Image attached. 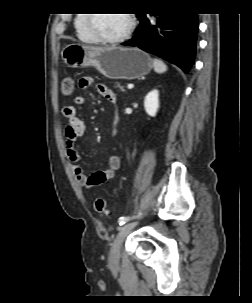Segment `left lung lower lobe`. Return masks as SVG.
Instances as JSON below:
<instances>
[{
  "mask_svg": "<svg viewBox=\"0 0 252 303\" xmlns=\"http://www.w3.org/2000/svg\"><path fill=\"white\" fill-rule=\"evenodd\" d=\"M138 14L135 36L123 43L153 53L188 73L196 52L198 17L194 13Z\"/></svg>",
  "mask_w": 252,
  "mask_h": 303,
  "instance_id": "0a47b994",
  "label": "left lung lower lobe"
}]
</instances>
